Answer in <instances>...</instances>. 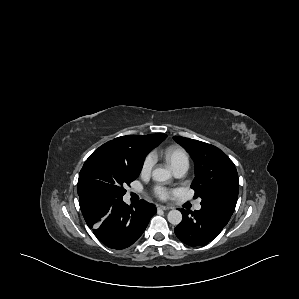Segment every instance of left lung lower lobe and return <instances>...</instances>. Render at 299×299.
Here are the masks:
<instances>
[{"label":"left lung lower lobe","mask_w":299,"mask_h":299,"mask_svg":"<svg viewBox=\"0 0 299 299\" xmlns=\"http://www.w3.org/2000/svg\"><path fill=\"white\" fill-rule=\"evenodd\" d=\"M181 212L183 220L175 228V234L183 243L193 247L212 241L229 221L204 207L191 213L184 209Z\"/></svg>","instance_id":"0a47b994"}]
</instances>
